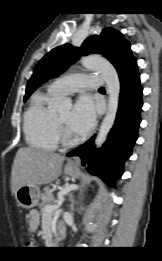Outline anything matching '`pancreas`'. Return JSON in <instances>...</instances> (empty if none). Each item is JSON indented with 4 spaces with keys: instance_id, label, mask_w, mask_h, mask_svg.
Wrapping results in <instances>:
<instances>
[{
    "instance_id": "cf45deb5",
    "label": "pancreas",
    "mask_w": 162,
    "mask_h": 261,
    "mask_svg": "<svg viewBox=\"0 0 162 261\" xmlns=\"http://www.w3.org/2000/svg\"><path fill=\"white\" fill-rule=\"evenodd\" d=\"M54 198L52 195V190L49 187H45L43 189V192L41 194V203L39 204V208L41 210V213L44 214V208L46 205H51Z\"/></svg>"
}]
</instances>
